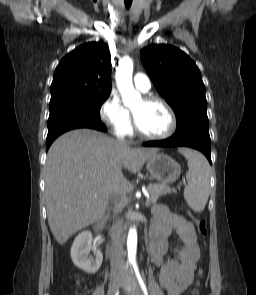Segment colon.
<instances>
[{
    "instance_id": "5ec220e1",
    "label": "colon",
    "mask_w": 256,
    "mask_h": 295,
    "mask_svg": "<svg viewBox=\"0 0 256 295\" xmlns=\"http://www.w3.org/2000/svg\"><path fill=\"white\" fill-rule=\"evenodd\" d=\"M194 222L196 223L197 225V230H198V233L199 235H201L202 237H204L207 233V229H206V222L204 219L202 218H193ZM202 271L201 269L199 270V274H201ZM197 290L194 291V295H197Z\"/></svg>"
}]
</instances>
